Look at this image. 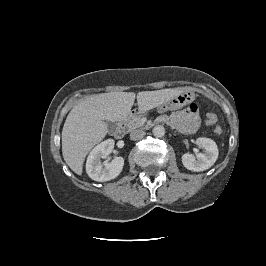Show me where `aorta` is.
I'll list each match as a JSON object with an SVG mask.
<instances>
[{
  "label": "aorta",
  "mask_w": 266,
  "mask_h": 266,
  "mask_svg": "<svg viewBox=\"0 0 266 266\" xmlns=\"http://www.w3.org/2000/svg\"><path fill=\"white\" fill-rule=\"evenodd\" d=\"M153 135L161 138L165 135V128L162 125H157L153 128Z\"/></svg>",
  "instance_id": "762f6f07"
}]
</instances>
